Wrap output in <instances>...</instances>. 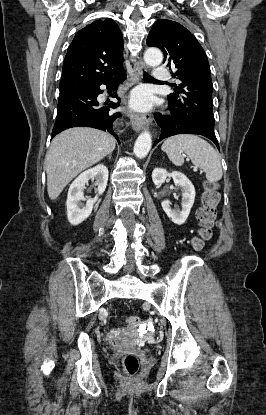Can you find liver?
<instances>
[{"mask_svg": "<svg viewBox=\"0 0 266 415\" xmlns=\"http://www.w3.org/2000/svg\"><path fill=\"white\" fill-rule=\"evenodd\" d=\"M115 145L114 137L93 128L76 127L57 135L45 158L50 199L55 200L80 172L111 154Z\"/></svg>", "mask_w": 266, "mask_h": 415, "instance_id": "6515ba94", "label": "liver"}]
</instances>
